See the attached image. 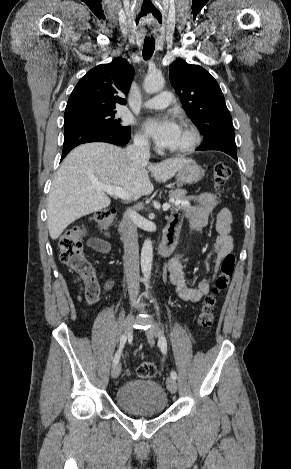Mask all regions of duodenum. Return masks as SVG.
I'll return each instance as SVG.
<instances>
[{
	"label": "duodenum",
	"instance_id": "duodenum-1",
	"mask_svg": "<svg viewBox=\"0 0 291 469\" xmlns=\"http://www.w3.org/2000/svg\"><path fill=\"white\" fill-rule=\"evenodd\" d=\"M122 234L126 231V223L124 220L119 225ZM179 231L175 227L167 226L164 236L158 245V253L161 257H168L174 251L177 244Z\"/></svg>",
	"mask_w": 291,
	"mask_h": 469
}]
</instances>
